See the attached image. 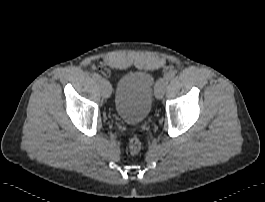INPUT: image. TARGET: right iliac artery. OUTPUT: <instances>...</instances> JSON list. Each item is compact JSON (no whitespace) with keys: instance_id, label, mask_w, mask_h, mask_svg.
I'll list each match as a JSON object with an SVG mask.
<instances>
[{"instance_id":"right-iliac-artery-1","label":"right iliac artery","mask_w":265,"mask_h":202,"mask_svg":"<svg viewBox=\"0 0 265 202\" xmlns=\"http://www.w3.org/2000/svg\"><path fill=\"white\" fill-rule=\"evenodd\" d=\"M91 76L94 81H99L101 79V76L98 73H92Z\"/></svg>"}]
</instances>
